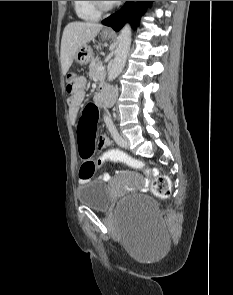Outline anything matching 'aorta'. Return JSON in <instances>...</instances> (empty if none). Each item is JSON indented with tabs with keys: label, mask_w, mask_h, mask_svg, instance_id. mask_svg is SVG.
I'll return each instance as SVG.
<instances>
[{
	"label": "aorta",
	"mask_w": 233,
	"mask_h": 295,
	"mask_svg": "<svg viewBox=\"0 0 233 295\" xmlns=\"http://www.w3.org/2000/svg\"><path fill=\"white\" fill-rule=\"evenodd\" d=\"M136 2V1H134ZM131 45V28L129 24H126L119 35V44L116 50V55L112 64V67L108 74V80H114L123 70L127 55Z\"/></svg>",
	"instance_id": "obj_1"
}]
</instances>
